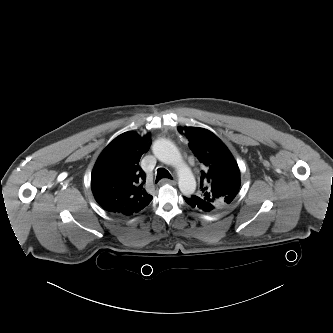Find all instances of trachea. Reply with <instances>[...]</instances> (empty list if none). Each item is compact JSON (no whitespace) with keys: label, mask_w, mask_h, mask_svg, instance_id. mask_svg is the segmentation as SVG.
<instances>
[{"label":"trachea","mask_w":333,"mask_h":333,"mask_svg":"<svg viewBox=\"0 0 333 333\" xmlns=\"http://www.w3.org/2000/svg\"><path fill=\"white\" fill-rule=\"evenodd\" d=\"M162 178H168V179H173L171 174L166 170L165 168H159L157 170V177H156V182H158Z\"/></svg>","instance_id":"3493384b"}]
</instances>
